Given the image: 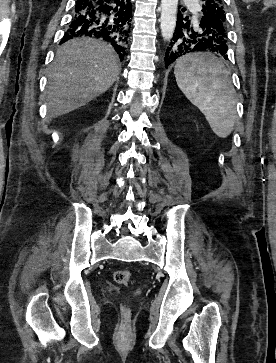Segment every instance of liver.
Returning <instances> with one entry per match:
<instances>
[{
    "label": "liver",
    "mask_w": 276,
    "mask_h": 363,
    "mask_svg": "<svg viewBox=\"0 0 276 363\" xmlns=\"http://www.w3.org/2000/svg\"><path fill=\"white\" fill-rule=\"evenodd\" d=\"M119 73V59L110 45L90 38L67 41L57 50L47 75L49 117L84 106L107 91Z\"/></svg>",
    "instance_id": "6515ba94"
}]
</instances>
